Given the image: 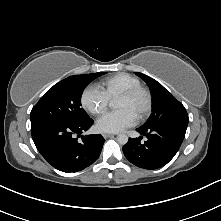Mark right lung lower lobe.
<instances>
[{"label":"right lung lower lobe","instance_id":"obj_1","mask_svg":"<svg viewBox=\"0 0 221 221\" xmlns=\"http://www.w3.org/2000/svg\"><path fill=\"white\" fill-rule=\"evenodd\" d=\"M93 123L91 118L81 122H39L31 125V134L36 148L50 165L66 173L77 172L97 160L105 142L100 134L80 135Z\"/></svg>","mask_w":221,"mask_h":221}]
</instances>
